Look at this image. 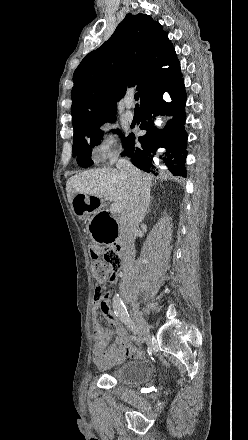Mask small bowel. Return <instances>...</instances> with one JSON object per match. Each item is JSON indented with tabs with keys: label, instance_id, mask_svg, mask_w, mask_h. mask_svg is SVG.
<instances>
[{
	"label": "small bowel",
	"instance_id": "c3829d8e",
	"mask_svg": "<svg viewBox=\"0 0 248 440\" xmlns=\"http://www.w3.org/2000/svg\"><path fill=\"white\" fill-rule=\"evenodd\" d=\"M111 271L110 283H115L117 272H121V267H114ZM101 288V287H100ZM102 299H95L92 305V333L94 345L92 349V359L99 369H106L109 366L119 363L127 357H136L140 352L130 345L126 328L118 321L116 314L111 309L109 294L104 293ZM101 311L107 321L114 327V331L105 329L96 319L97 312ZM116 335V341L109 346L110 340Z\"/></svg>",
	"mask_w": 248,
	"mask_h": 440
}]
</instances>
